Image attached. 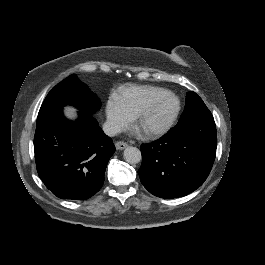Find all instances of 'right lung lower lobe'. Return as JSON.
Here are the masks:
<instances>
[{
    "mask_svg": "<svg viewBox=\"0 0 265 265\" xmlns=\"http://www.w3.org/2000/svg\"><path fill=\"white\" fill-rule=\"evenodd\" d=\"M34 151L39 177L55 196L85 200L103 185L115 146L94 116L69 121L56 110L36 123Z\"/></svg>",
    "mask_w": 265,
    "mask_h": 265,
    "instance_id": "right-lung-lower-lobe-1",
    "label": "right lung lower lobe"
}]
</instances>
